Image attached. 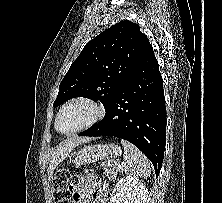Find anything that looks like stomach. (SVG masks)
<instances>
[{
  "instance_id": "stomach-1",
  "label": "stomach",
  "mask_w": 222,
  "mask_h": 203,
  "mask_svg": "<svg viewBox=\"0 0 222 203\" xmlns=\"http://www.w3.org/2000/svg\"><path fill=\"white\" fill-rule=\"evenodd\" d=\"M121 152V148L115 144L87 145L74 154L73 164L79 167L82 164L115 158L119 156Z\"/></svg>"
}]
</instances>
